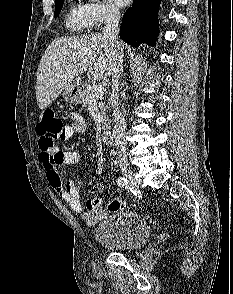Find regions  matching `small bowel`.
<instances>
[{
	"label": "small bowel",
	"mask_w": 233,
	"mask_h": 294,
	"mask_svg": "<svg viewBox=\"0 0 233 294\" xmlns=\"http://www.w3.org/2000/svg\"><path fill=\"white\" fill-rule=\"evenodd\" d=\"M70 119L72 123L65 126L63 135L60 138L62 141H67L74 134L83 133L86 130V122L82 115L73 112L70 114ZM39 159L43 165V169L45 170L49 185L59 194V196L73 211L82 215L88 225H95L100 219L105 217L106 212L103 209L101 198L94 197L89 199L86 203V209H84L80 199L79 189L72 181L63 182L60 177L58 171L60 166L77 165L81 162V155L79 152L60 151L55 148L50 152H44L41 150ZM104 188L105 185L103 183H96L92 186L90 192L99 193L103 191Z\"/></svg>",
	"instance_id": "small-bowel-1"
}]
</instances>
